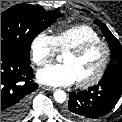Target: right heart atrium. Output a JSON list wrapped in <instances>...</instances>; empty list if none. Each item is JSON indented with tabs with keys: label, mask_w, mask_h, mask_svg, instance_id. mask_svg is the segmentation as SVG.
<instances>
[{
	"label": "right heart atrium",
	"mask_w": 122,
	"mask_h": 122,
	"mask_svg": "<svg viewBox=\"0 0 122 122\" xmlns=\"http://www.w3.org/2000/svg\"><path fill=\"white\" fill-rule=\"evenodd\" d=\"M58 53L54 36L47 32L38 33L30 45L32 62L37 66H43L53 60Z\"/></svg>",
	"instance_id": "d8ad5b80"
}]
</instances>
